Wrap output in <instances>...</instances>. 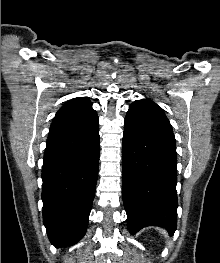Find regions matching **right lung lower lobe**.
<instances>
[{"label":"right lung lower lobe","mask_w":220,"mask_h":263,"mask_svg":"<svg viewBox=\"0 0 220 263\" xmlns=\"http://www.w3.org/2000/svg\"><path fill=\"white\" fill-rule=\"evenodd\" d=\"M99 166V126L90 134L48 135L42 168L43 224L56 247L85 234Z\"/></svg>","instance_id":"right-lung-lower-lobe-1"}]
</instances>
